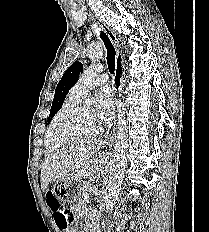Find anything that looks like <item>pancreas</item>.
I'll return each instance as SVG.
<instances>
[{
  "label": "pancreas",
  "mask_w": 209,
  "mask_h": 232,
  "mask_svg": "<svg viewBox=\"0 0 209 232\" xmlns=\"http://www.w3.org/2000/svg\"><path fill=\"white\" fill-rule=\"evenodd\" d=\"M90 185L91 184L89 182H83V184L80 185L82 194L88 192ZM81 204L84 205L85 204L84 201H81Z\"/></svg>",
  "instance_id": "1"
}]
</instances>
